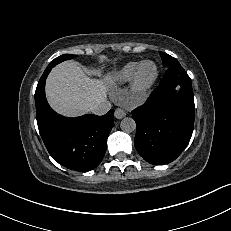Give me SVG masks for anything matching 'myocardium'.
<instances>
[{"label":"myocardium","instance_id":"myocardium-1","mask_svg":"<svg viewBox=\"0 0 231 231\" xmlns=\"http://www.w3.org/2000/svg\"><path fill=\"white\" fill-rule=\"evenodd\" d=\"M149 63L154 65L155 73L150 80L143 82L141 80V72H142L143 67ZM158 77H159V68L155 62L150 61V60H146V61L142 62L139 65V67L137 68V70L133 76V79H132V92H133L134 96L137 99L144 98L146 96V94L150 91V89L154 86Z\"/></svg>","mask_w":231,"mask_h":231}]
</instances>
